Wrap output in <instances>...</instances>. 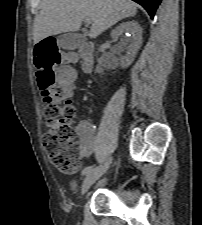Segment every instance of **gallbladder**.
<instances>
[{
    "label": "gallbladder",
    "mask_w": 202,
    "mask_h": 225,
    "mask_svg": "<svg viewBox=\"0 0 202 225\" xmlns=\"http://www.w3.org/2000/svg\"><path fill=\"white\" fill-rule=\"evenodd\" d=\"M83 37L78 33H64L57 37L59 48L65 50H75L83 43Z\"/></svg>",
    "instance_id": "1"
}]
</instances>
